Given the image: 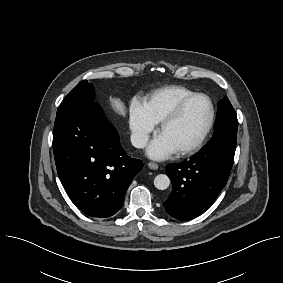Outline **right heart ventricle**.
<instances>
[{"instance_id":"right-heart-ventricle-1","label":"right heart ventricle","mask_w":283,"mask_h":283,"mask_svg":"<svg viewBox=\"0 0 283 283\" xmlns=\"http://www.w3.org/2000/svg\"><path fill=\"white\" fill-rule=\"evenodd\" d=\"M195 92L182 85H168L153 91L143 107L147 117L155 124L160 123L185 98Z\"/></svg>"}]
</instances>
